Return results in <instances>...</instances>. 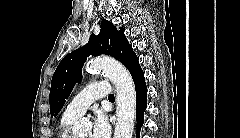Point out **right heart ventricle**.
I'll use <instances>...</instances> for the list:
<instances>
[{"mask_svg": "<svg viewBox=\"0 0 240 138\" xmlns=\"http://www.w3.org/2000/svg\"><path fill=\"white\" fill-rule=\"evenodd\" d=\"M75 119L76 117H68L63 115L58 129V138H75L70 131Z\"/></svg>", "mask_w": 240, "mask_h": 138, "instance_id": "e07e8e85", "label": "right heart ventricle"}]
</instances>
